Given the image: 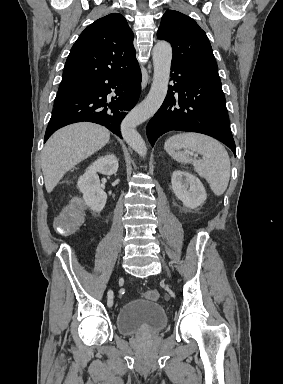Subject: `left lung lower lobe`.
I'll return each instance as SVG.
<instances>
[{"label":"left lung lower lobe","mask_w":283,"mask_h":384,"mask_svg":"<svg viewBox=\"0 0 283 384\" xmlns=\"http://www.w3.org/2000/svg\"><path fill=\"white\" fill-rule=\"evenodd\" d=\"M171 71L176 83L147 126L151 145L169 131L198 132L223 142L236 155L220 78L177 64Z\"/></svg>","instance_id":"0a47b994"}]
</instances>
